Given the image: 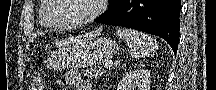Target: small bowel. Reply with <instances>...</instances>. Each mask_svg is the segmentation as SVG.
<instances>
[{
    "instance_id": "c3829d8e",
    "label": "small bowel",
    "mask_w": 216,
    "mask_h": 90,
    "mask_svg": "<svg viewBox=\"0 0 216 90\" xmlns=\"http://www.w3.org/2000/svg\"><path fill=\"white\" fill-rule=\"evenodd\" d=\"M64 81L68 86H72L76 90H92L90 82L83 79L77 70H68L65 74Z\"/></svg>"
}]
</instances>
